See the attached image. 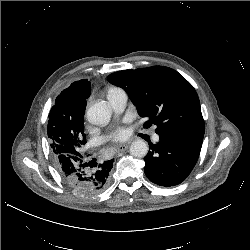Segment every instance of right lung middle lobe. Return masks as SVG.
Returning a JSON list of instances; mask_svg holds the SVG:
<instances>
[{
	"instance_id": "right-lung-middle-lobe-1",
	"label": "right lung middle lobe",
	"mask_w": 250,
	"mask_h": 250,
	"mask_svg": "<svg viewBox=\"0 0 250 250\" xmlns=\"http://www.w3.org/2000/svg\"><path fill=\"white\" fill-rule=\"evenodd\" d=\"M69 127L67 124L62 125L56 119L48 120V138L55 161L61 154L70 158L72 156L83 157L80 147L86 143L84 119L82 118L71 130Z\"/></svg>"
}]
</instances>
